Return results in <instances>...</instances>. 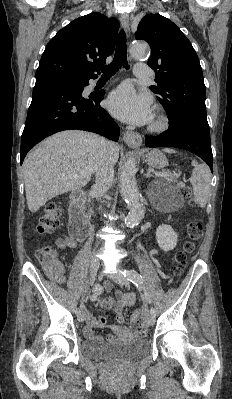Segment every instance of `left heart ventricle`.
Segmentation results:
<instances>
[{
  "mask_svg": "<svg viewBox=\"0 0 232 399\" xmlns=\"http://www.w3.org/2000/svg\"><path fill=\"white\" fill-rule=\"evenodd\" d=\"M155 120V116H154V118H153V120H152V122Z\"/></svg>",
  "mask_w": 232,
  "mask_h": 399,
  "instance_id": "obj_1",
  "label": "left heart ventricle"
}]
</instances>
